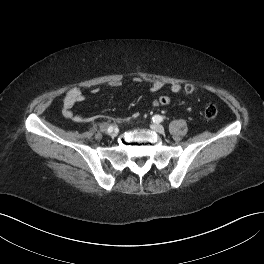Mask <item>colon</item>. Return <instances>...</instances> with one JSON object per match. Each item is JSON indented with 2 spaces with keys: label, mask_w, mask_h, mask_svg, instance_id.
Here are the masks:
<instances>
[{
  "label": "colon",
  "mask_w": 264,
  "mask_h": 264,
  "mask_svg": "<svg viewBox=\"0 0 264 264\" xmlns=\"http://www.w3.org/2000/svg\"><path fill=\"white\" fill-rule=\"evenodd\" d=\"M183 89L187 94H192L195 92V87L192 84L184 85ZM158 103L161 106H168L171 104V98L166 95L160 96ZM203 114L207 119H214L218 114V110L214 105H208L205 107Z\"/></svg>",
  "instance_id": "colon-1"
}]
</instances>
